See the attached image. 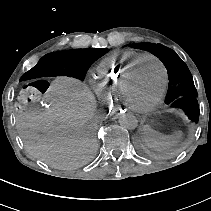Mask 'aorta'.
<instances>
[{"mask_svg": "<svg viewBox=\"0 0 211 211\" xmlns=\"http://www.w3.org/2000/svg\"><path fill=\"white\" fill-rule=\"evenodd\" d=\"M119 124L128 129H135L138 126V120L134 114L128 112L120 116Z\"/></svg>", "mask_w": 211, "mask_h": 211, "instance_id": "aorta-1", "label": "aorta"}]
</instances>
